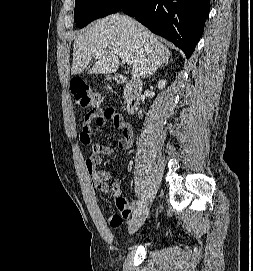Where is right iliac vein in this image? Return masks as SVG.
<instances>
[{"label":"right iliac vein","mask_w":253,"mask_h":271,"mask_svg":"<svg viewBox=\"0 0 253 271\" xmlns=\"http://www.w3.org/2000/svg\"><path fill=\"white\" fill-rule=\"evenodd\" d=\"M149 208L144 205L141 210L129 222V232L135 233L145 222L148 216Z\"/></svg>","instance_id":"1"}]
</instances>
